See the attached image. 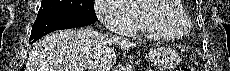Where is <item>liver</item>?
Segmentation results:
<instances>
[{"label":"liver","mask_w":230,"mask_h":71,"mask_svg":"<svg viewBox=\"0 0 230 71\" xmlns=\"http://www.w3.org/2000/svg\"><path fill=\"white\" fill-rule=\"evenodd\" d=\"M133 45L128 39L87 29L54 32L34 44L26 71H110L116 62L111 46Z\"/></svg>","instance_id":"liver-1"}]
</instances>
